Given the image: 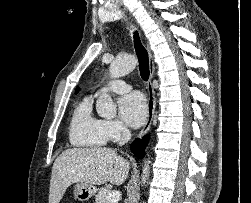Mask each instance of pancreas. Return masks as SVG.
I'll use <instances>...</instances> for the list:
<instances>
[{"mask_svg": "<svg viewBox=\"0 0 251 203\" xmlns=\"http://www.w3.org/2000/svg\"><path fill=\"white\" fill-rule=\"evenodd\" d=\"M112 192L109 188H101L95 196V203H111L107 200V195Z\"/></svg>", "mask_w": 251, "mask_h": 203, "instance_id": "pancreas-1", "label": "pancreas"}]
</instances>
